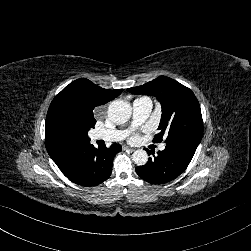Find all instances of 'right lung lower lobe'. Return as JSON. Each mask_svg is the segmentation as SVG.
<instances>
[{
	"label": "right lung lower lobe",
	"instance_id": "right-lung-lower-lobe-1",
	"mask_svg": "<svg viewBox=\"0 0 251 251\" xmlns=\"http://www.w3.org/2000/svg\"><path fill=\"white\" fill-rule=\"evenodd\" d=\"M120 151L119 144L97 149L88 142L59 152L53 161L69 180L90 187L110 177L114 156Z\"/></svg>",
	"mask_w": 251,
	"mask_h": 251
}]
</instances>
